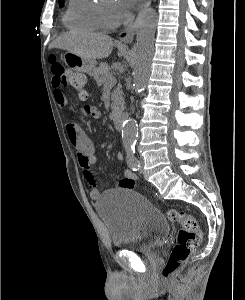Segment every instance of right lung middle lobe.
<instances>
[{
  "instance_id": "right-lung-middle-lobe-1",
  "label": "right lung middle lobe",
  "mask_w": 245,
  "mask_h": 300,
  "mask_svg": "<svg viewBox=\"0 0 245 300\" xmlns=\"http://www.w3.org/2000/svg\"><path fill=\"white\" fill-rule=\"evenodd\" d=\"M63 3H64V0H62V1L60 2V6H62V5H63Z\"/></svg>"
}]
</instances>
